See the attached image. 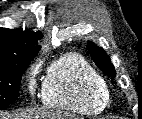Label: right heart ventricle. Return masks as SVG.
I'll return each mask as SVG.
<instances>
[{"mask_svg": "<svg viewBox=\"0 0 142 119\" xmlns=\"http://www.w3.org/2000/svg\"><path fill=\"white\" fill-rule=\"evenodd\" d=\"M41 96L50 107L90 115L101 113L109 102L104 78L76 53L65 54L50 65Z\"/></svg>", "mask_w": 142, "mask_h": 119, "instance_id": "1", "label": "right heart ventricle"}]
</instances>
